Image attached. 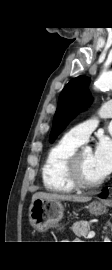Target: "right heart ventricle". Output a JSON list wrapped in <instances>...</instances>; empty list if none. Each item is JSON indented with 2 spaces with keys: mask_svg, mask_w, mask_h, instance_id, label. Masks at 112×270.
Segmentation results:
<instances>
[{
  "mask_svg": "<svg viewBox=\"0 0 112 270\" xmlns=\"http://www.w3.org/2000/svg\"><path fill=\"white\" fill-rule=\"evenodd\" d=\"M80 145V142L66 134L49 149L42 167V181L48 191L69 194L75 190L65 176L64 164Z\"/></svg>",
  "mask_w": 112,
  "mask_h": 270,
  "instance_id": "e07e8e85",
  "label": "right heart ventricle"
}]
</instances>
